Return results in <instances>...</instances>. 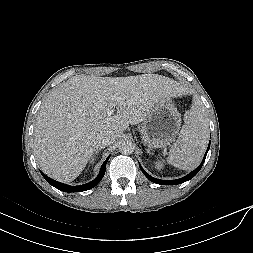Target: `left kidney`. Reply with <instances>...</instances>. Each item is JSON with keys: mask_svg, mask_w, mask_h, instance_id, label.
<instances>
[{"mask_svg": "<svg viewBox=\"0 0 253 253\" xmlns=\"http://www.w3.org/2000/svg\"><path fill=\"white\" fill-rule=\"evenodd\" d=\"M158 170H160L163 167V164L161 162H157L155 166Z\"/></svg>", "mask_w": 253, "mask_h": 253, "instance_id": "obj_1", "label": "left kidney"}]
</instances>
